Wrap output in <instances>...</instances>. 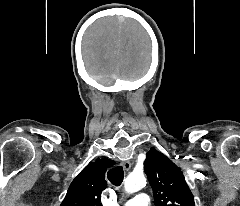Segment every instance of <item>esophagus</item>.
Returning <instances> with one entry per match:
<instances>
[{
    "instance_id": "esophagus-1",
    "label": "esophagus",
    "mask_w": 240,
    "mask_h": 206,
    "mask_svg": "<svg viewBox=\"0 0 240 206\" xmlns=\"http://www.w3.org/2000/svg\"><path fill=\"white\" fill-rule=\"evenodd\" d=\"M122 166L126 171H128L131 168V162L130 161L122 162Z\"/></svg>"
}]
</instances>
